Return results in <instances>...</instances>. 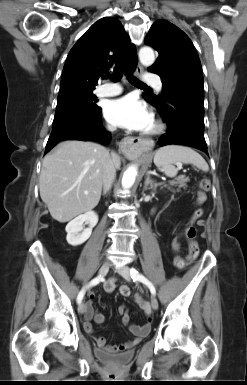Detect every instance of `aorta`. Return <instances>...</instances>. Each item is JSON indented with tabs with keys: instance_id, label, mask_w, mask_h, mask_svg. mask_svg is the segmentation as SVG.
<instances>
[{
	"instance_id": "1",
	"label": "aorta",
	"mask_w": 247,
	"mask_h": 385,
	"mask_svg": "<svg viewBox=\"0 0 247 385\" xmlns=\"http://www.w3.org/2000/svg\"><path fill=\"white\" fill-rule=\"evenodd\" d=\"M139 59L142 65L148 67L155 62L154 51L151 47H142L139 51ZM137 167L135 165L130 166L123 174L122 188L129 189L135 182L137 176Z\"/></svg>"
}]
</instances>
